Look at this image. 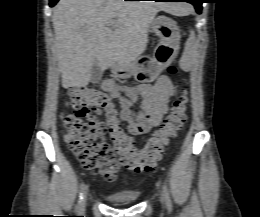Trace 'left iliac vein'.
Here are the masks:
<instances>
[{
  "mask_svg": "<svg viewBox=\"0 0 260 217\" xmlns=\"http://www.w3.org/2000/svg\"><path fill=\"white\" fill-rule=\"evenodd\" d=\"M160 200H161V202L164 204L163 194H161Z\"/></svg>",
  "mask_w": 260,
  "mask_h": 217,
  "instance_id": "1",
  "label": "left iliac vein"
}]
</instances>
